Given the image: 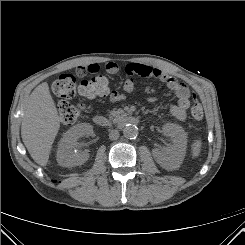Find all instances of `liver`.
Here are the masks:
<instances>
[{
  "mask_svg": "<svg viewBox=\"0 0 245 245\" xmlns=\"http://www.w3.org/2000/svg\"><path fill=\"white\" fill-rule=\"evenodd\" d=\"M60 118L47 82L38 85L25 104L21 137L29 154L40 166L48 163Z\"/></svg>",
  "mask_w": 245,
  "mask_h": 245,
  "instance_id": "obj_1",
  "label": "liver"
}]
</instances>
